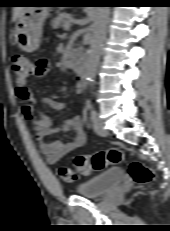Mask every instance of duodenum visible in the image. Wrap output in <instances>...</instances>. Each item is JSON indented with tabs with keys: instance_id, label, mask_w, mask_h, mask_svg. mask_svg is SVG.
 <instances>
[{
	"instance_id": "obj_1",
	"label": "duodenum",
	"mask_w": 170,
	"mask_h": 231,
	"mask_svg": "<svg viewBox=\"0 0 170 231\" xmlns=\"http://www.w3.org/2000/svg\"><path fill=\"white\" fill-rule=\"evenodd\" d=\"M84 59L80 52L74 53L67 58V64L73 67L80 77L84 75Z\"/></svg>"
}]
</instances>
